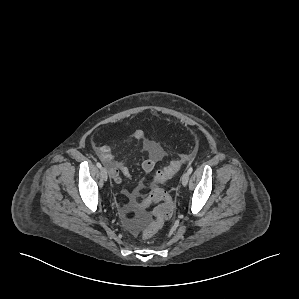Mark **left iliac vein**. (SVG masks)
I'll use <instances>...</instances> for the list:
<instances>
[{"mask_svg":"<svg viewBox=\"0 0 299 299\" xmlns=\"http://www.w3.org/2000/svg\"><path fill=\"white\" fill-rule=\"evenodd\" d=\"M189 173L188 171L183 173L182 177H181V182H182V185L183 186H186L188 184V181H189Z\"/></svg>","mask_w":299,"mask_h":299,"instance_id":"1","label":"left iliac vein"}]
</instances>
